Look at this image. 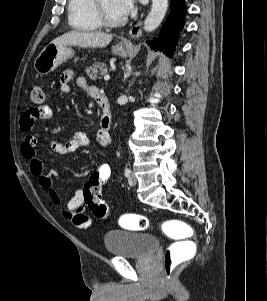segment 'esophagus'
<instances>
[{"label":"esophagus","instance_id":"obj_1","mask_svg":"<svg viewBox=\"0 0 267 301\" xmlns=\"http://www.w3.org/2000/svg\"><path fill=\"white\" fill-rule=\"evenodd\" d=\"M129 35L132 39H136L139 38L141 35V21H139L135 26H133L130 31H129ZM130 41H125L123 42L124 46L130 45Z\"/></svg>","mask_w":267,"mask_h":301}]
</instances>
